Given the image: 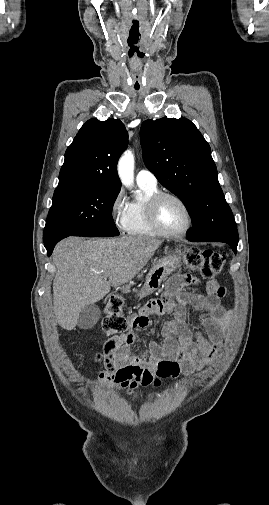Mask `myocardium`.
<instances>
[{
  "label": "myocardium",
  "mask_w": 269,
  "mask_h": 505,
  "mask_svg": "<svg viewBox=\"0 0 269 505\" xmlns=\"http://www.w3.org/2000/svg\"><path fill=\"white\" fill-rule=\"evenodd\" d=\"M167 198L177 201L184 208L187 214V224L182 230L178 232H170L165 230L160 224L158 219V207L160 203ZM146 212L151 227L155 230V232H157L160 236L163 237H171V238L182 237L185 234H187L193 226V214L189 205L179 195L171 192H158L153 196H151L146 203Z\"/></svg>",
  "instance_id": "f54148a6"
}]
</instances>
